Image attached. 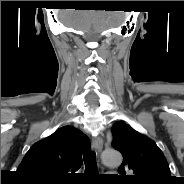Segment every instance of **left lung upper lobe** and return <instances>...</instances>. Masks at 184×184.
I'll return each mask as SVG.
<instances>
[{
    "instance_id": "5c2ea615",
    "label": "left lung upper lobe",
    "mask_w": 184,
    "mask_h": 184,
    "mask_svg": "<svg viewBox=\"0 0 184 184\" xmlns=\"http://www.w3.org/2000/svg\"><path fill=\"white\" fill-rule=\"evenodd\" d=\"M112 135V146L123 155L116 178L128 184L172 183L169 165L154 141L123 121L112 126Z\"/></svg>"
}]
</instances>
